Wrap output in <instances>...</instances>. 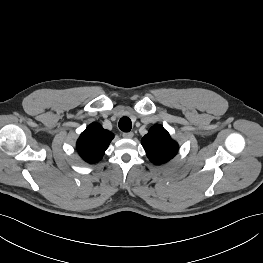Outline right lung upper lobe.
<instances>
[{
	"label": "right lung upper lobe",
	"mask_w": 263,
	"mask_h": 263,
	"mask_svg": "<svg viewBox=\"0 0 263 263\" xmlns=\"http://www.w3.org/2000/svg\"><path fill=\"white\" fill-rule=\"evenodd\" d=\"M114 135L98 123L90 124L80 135L76 147L80 156L88 163H96L105 154Z\"/></svg>",
	"instance_id": "cb5924a9"
}]
</instances>
